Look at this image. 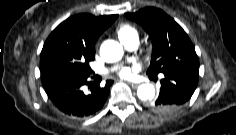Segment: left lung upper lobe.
I'll list each match as a JSON object with an SVG mask.
<instances>
[{
	"label": "left lung upper lobe",
	"mask_w": 236,
	"mask_h": 135,
	"mask_svg": "<svg viewBox=\"0 0 236 135\" xmlns=\"http://www.w3.org/2000/svg\"><path fill=\"white\" fill-rule=\"evenodd\" d=\"M125 17L139 23L151 38L153 51L147 74L157 75L193 62L199 63L185 31L162 10L146 7L135 13H125Z\"/></svg>",
	"instance_id": "5c2ea615"
}]
</instances>
